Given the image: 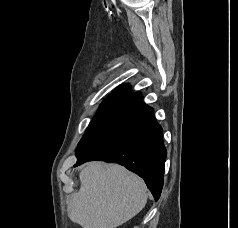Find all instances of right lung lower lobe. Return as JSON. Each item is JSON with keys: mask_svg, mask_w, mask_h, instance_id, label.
I'll use <instances>...</instances> for the list:
<instances>
[{"mask_svg": "<svg viewBox=\"0 0 238 228\" xmlns=\"http://www.w3.org/2000/svg\"><path fill=\"white\" fill-rule=\"evenodd\" d=\"M162 132L153 109L143 105L114 120L80 147L75 166L91 160L121 164L144 179L157 201L167 155Z\"/></svg>", "mask_w": 238, "mask_h": 228, "instance_id": "obj_1", "label": "right lung lower lobe"}]
</instances>
